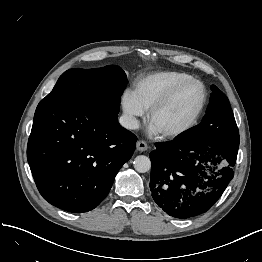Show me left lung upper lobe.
Returning a JSON list of instances; mask_svg holds the SVG:
<instances>
[{
    "label": "left lung upper lobe",
    "mask_w": 262,
    "mask_h": 262,
    "mask_svg": "<svg viewBox=\"0 0 262 262\" xmlns=\"http://www.w3.org/2000/svg\"><path fill=\"white\" fill-rule=\"evenodd\" d=\"M211 97L202 122L181 133L184 140L207 142L222 134H238L235 118L226 95L215 85L211 86Z\"/></svg>",
    "instance_id": "5c2ea615"
}]
</instances>
